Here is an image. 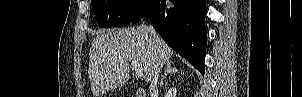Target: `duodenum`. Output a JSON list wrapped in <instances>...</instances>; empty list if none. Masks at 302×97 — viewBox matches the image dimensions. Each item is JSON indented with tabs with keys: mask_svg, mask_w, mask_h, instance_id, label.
Here are the masks:
<instances>
[{
	"mask_svg": "<svg viewBox=\"0 0 302 97\" xmlns=\"http://www.w3.org/2000/svg\"><path fill=\"white\" fill-rule=\"evenodd\" d=\"M135 97H146V93L143 89L138 88L135 91Z\"/></svg>",
	"mask_w": 302,
	"mask_h": 97,
	"instance_id": "410a0bca",
	"label": "duodenum"
}]
</instances>
